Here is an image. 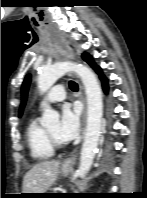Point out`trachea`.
I'll list each match as a JSON object with an SVG mask.
<instances>
[{
    "mask_svg": "<svg viewBox=\"0 0 147 198\" xmlns=\"http://www.w3.org/2000/svg\"><path fill=\"white\" fill-rule=\"evenodd\" d=\"M70 89L73 91L78 90V85L74 81L69 82Z\"/></svg>",
    "mask_w": 147,
    "mask_h": 198,
    "instance_id": "3493384b",
    "label": "trachea"
}]
</instances>
